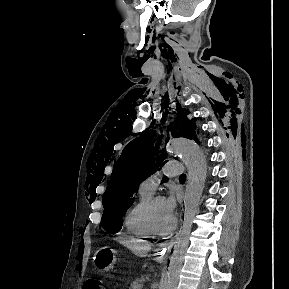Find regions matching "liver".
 Returning <instances> with one entry per match:
<instances>
[{
	"label": "liver",
	"mask_w": 289,
	"mask_h": 289,
	"mask_svg": "<svg viewBox=\"0 0 289 289\" xmlns=\"http://www.w3.org/2000/svg\"><path fill=\"white\" fill-rule=\"evenodd\" d=\"M116 240L119 241L124 246H126L128 249H130L135 255L140 257L146 256L147 252L151 248L150 245H148L147 243H144L137 239L125 240L117 238Z\"/></svg>",
	"instance_id": "liver-1"
}]
</instances>
